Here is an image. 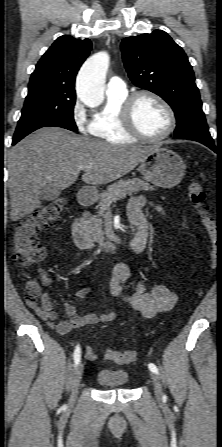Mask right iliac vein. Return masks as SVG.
I'll return each mask as SVG.
<instances>
[{
  "label": "right iliac vein",
  "mask_w": 222,
  "mask_h": 447,
  "mask_svg": "<svg viewBox=\"0 0 222 447\" xmlns=\"http://www.w3.org/2000/svg\"><path fill=\"white\" fill-rule=\"evenodd\" d=\"M83 371H84V366H83L82 362H79V364L77 365L75 372L73 374V378H72L71 396H70V405L71 406H73L77 400L78 389H79V385H80V382L82 379Z\"/></svg>",
  "instance_id": "right-iliac-vein-1"
}]
</instances>
